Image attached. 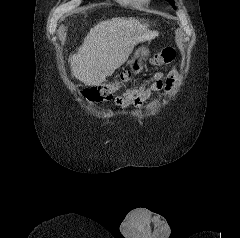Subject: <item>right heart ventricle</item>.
Returning a JSON list of instances; mask_svg holds the SVG:
<instances>
[{"label": "right heart ventricle", "mask_w": 240, "mask_h": 238, "mask_svg": "<svg viewBox=\"0 0 240 238\" xmlns=\"http://www.w3.org/2000/svg\"><path fill=\"white\" fill-rule=\"evenodd\" d=\"M115 1L125 6H128V5L142 6L146 4L149 0H115Z\"/></svg>", "instance_id": "obj_1"}]
</instances>
